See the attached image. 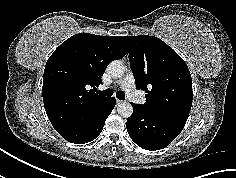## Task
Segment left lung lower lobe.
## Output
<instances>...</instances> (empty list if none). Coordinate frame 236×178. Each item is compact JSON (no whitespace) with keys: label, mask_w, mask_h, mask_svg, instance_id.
Returning <instances> with one entry per match:
<instances>
[{"label":"left lung lower lobe","mask_w":236,"mask_h":178,"mask_svg":"<svg viewBox=\"0 0 236 178\" xmlns=\"http://www.w3.org/2000/svg\"><path fill=\"white\" fill-rule=\"evenodd\" d=\"M133 105V114L127 119L130 138L141 148L155 151L167 147L182 131L185 123L154 114L140 105Z\"/></svg>","instance_id":"left-lung-lower-lobe-1"}]
</instances>
